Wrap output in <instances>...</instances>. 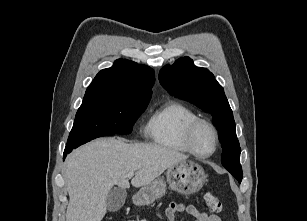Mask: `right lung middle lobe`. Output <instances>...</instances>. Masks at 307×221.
<instances>
[{
    "label": "right lung middle lobe",
    "instance_id": "right-lung-middle-lobe-1",
    "mask_svg": "<svg viewBox=\"0 0 307 221\" xmlns=\"http://www.w3.org/2000/svg\"><path fill=\"white\" fill-rule=\"evenodd\" d=\"M149 100L105 97L82 102L69 134L66 153L101 136L129 134Z\"/></svg>",
    "mask_w": 307,
    "mask_h": 221
}]
</instances>
